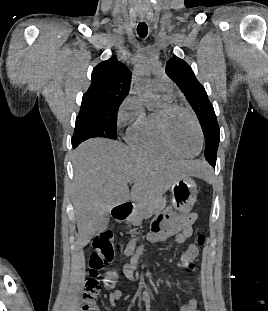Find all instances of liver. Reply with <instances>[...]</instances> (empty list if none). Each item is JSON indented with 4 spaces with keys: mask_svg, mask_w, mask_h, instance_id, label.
Wrapping results in <instances>:
<instances>
[{
    "mask_svg": "<svg viewBox=\"0 0 268 311\" xmlns=\"http://www.w3.org/2000/svg\"><path fill=\"white\" fill-rule=\"evenodd\" d=\"M73 167V205L80 247L90 242L115 206L161 197L175 181L200 177L208 170L199 160L175 161L140 154L104 138L80 144L74 151ZM128 183H134L130 193Z\"/></svg>",
    "mask_w": 268,
    "mask_h": 311,
    "instance_id": "6515ba94",
    "label": "liver"
}]
</instances>
